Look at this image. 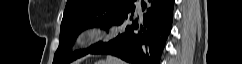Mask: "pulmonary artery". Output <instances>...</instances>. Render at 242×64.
I'll return each mask as SVG.
<instances>
[{
    "instance_id": "1",
    "label": "pulmonary artery",
    "mask_w": 242,
    "mask_h": 64,
    "mask_svg": "<svg viewBox=\"0 0 242 64\" xmlns=\"http://www.w3.org/2000/svg\"><path fill=\"white\" fill-rule=\"evenodd\" d=\"M136 5H137V8L140 9V1H137Z\"/></svg>"
}]
</instances>
